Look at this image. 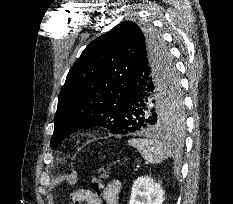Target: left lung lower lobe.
<instances>
[{
	"label": "left lung lower lobe",
	"instance_id": "obj_1",
	"mask_svg": "<svg viewBox=\"0 0 233 204\" xmlns=\"http://www.w3.org/2000/svg\"><path fill=\"white\" fill-rule=\"evenodd\" d=\"M167 66L162 52L156 55L144 49L138 52L116 119L123 135L161 130L158 124V102L171 84H179L176 70L169 74Z\"/></svg>",
	"mask_w": 233,
	"mask_h": 204
}]
</instances>
